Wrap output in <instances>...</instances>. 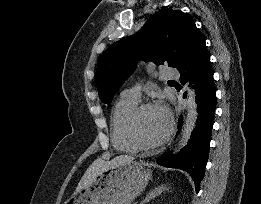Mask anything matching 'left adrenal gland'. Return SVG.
<instances>
[{
    "instance_id": "1",
    "label": "left adrenal gland",
    "mask_w": 261,
    "mask_h": 204,
    "mask_svg": "<svg viewBox=\"0 0 261 204\" xmlns=\"http://www.w3.org/2000/svg\"><path fill=\"white\" fill-rule=\"evenodd\" d=\"M166 190H168V188L165 185L155 187V189H151L150 192L146 195V198L144 199V201L141 204L148 203L149 201H151L155 197L161 195V193L163 191H166Z\"/></svg>"
}]
</instances>
